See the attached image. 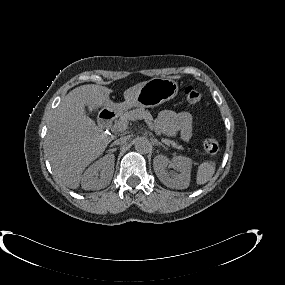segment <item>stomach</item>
I'll list each match as a JSON object with an SVG mask.
<instances>
[{
    "label": "stomach",
    "instance_id": "1",
    "mask_svg": "<svg viewBox=\"0 0 285 285\" xmlns=\"http://www.w3.org/2000/svg\"><path fill=\"white\" fill-rule=\"evenodd\" d=\"M178 93V84L174 80L153 78L140 88L135 101L127 104H110L106 106L108 111L122 112L131 107H156L173 99Z\"/></svg>",
    "mask_w": 285,
    "mask_h": 285
}]
</instances>
